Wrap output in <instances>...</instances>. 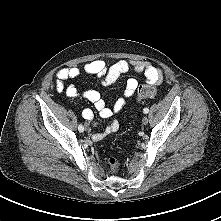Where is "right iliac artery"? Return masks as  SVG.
Listing matches in <instances>:
<instances>
[{"label": "right iliac artery", "instance_id": "1", "mask_svg": "<svg viewBox=\"0 0 221 221\" xmlns=\"http://www.w3.org/2000/svg\"><path fill=\"white\" fill-rule=\"evenodd\" d=\"M78 130H79L80 132H83V131H84V127L80 124V125L78 126Z\"/></svg>", "mask_w": 221, "mask_h": 221}]
</instances>
